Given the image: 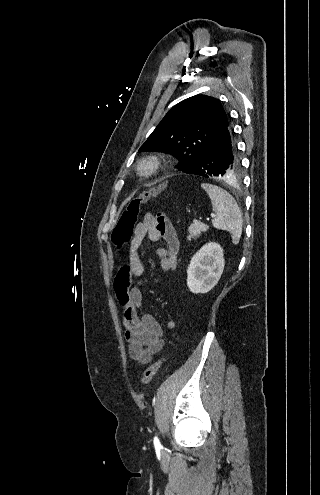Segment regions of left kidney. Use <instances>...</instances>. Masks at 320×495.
<instances>
[{
	"mask_svg": "<svg viewBox=\"0 0 320 495\" xmlns=\"http://www.w3.org/2000/svg\"><path fill=\"white\" fill-rule=\"evenodd\" d=\"M225 265L223 249L215 242L204 245L191 259L187 285L192 293H207L218 283Z\"/></svg>",
	"mask_w": 320,
	"mask_h": 495,
	"instance_id": "obj_1",
	"label": "left kidney"
}]
</instances>
